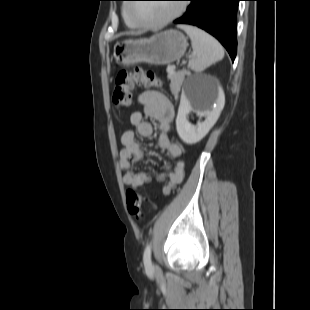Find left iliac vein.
<instances>
[{
  "instance_id": "obj_1",
  "label": "left iliac vein",
  "mask_w": 310,
  "mask_h": 310,
  "mask_svg": "<svg viewBox=\"0 0 310 310\" xmlns=\"http://www.w3.org/2000/svg\"><path fill=\"white\" fill-rule=\"evenodd\" d=\"M154 271H155V273H158V272H159V268H158L157 265L154 266Z\"/></svg>"
}]
</instances>
